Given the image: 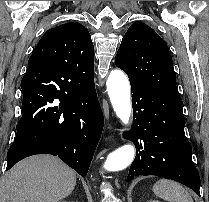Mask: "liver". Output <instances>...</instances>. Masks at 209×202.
<instances>
[{"mask_svg": "<svg viewBox=\"0 0 209 202\" xmlns=\"http://www.w3.org/2000/svg\"><path fill=\"white\" fill-rule=\"evenodd\" d=\"M76 174L57 157L27 158L9 170L0 182V202H58L69 196Z\"/></svg>", "mask_w": 209, "mask_h": 202, "instance_id": "obj_1", "label": "liver"}]
</instances>
